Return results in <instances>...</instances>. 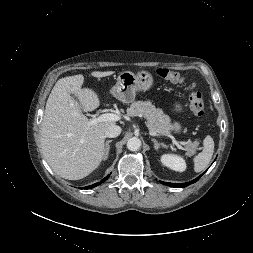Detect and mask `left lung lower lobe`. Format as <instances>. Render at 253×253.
<instances>
[{"instance_id": "obj_1", "label": "left lung lower lobe", "mask_w": 253, "mask_h": 253, "mask_svg": "<svg viewBox=\"0 0 253 253\" xmlns=\"http://www.w3.org/2000/svg\"><path fill=\"white\" fill-rule=\"evenodd\" d=\"M201 177V175L199 177H197L196 179H194L193 181L191 182H187V183H181V184H176V183H169V182H161L162 184H165L167 186H170V187H174V188H179V187H186L192 183H195L196 181L199 180V178Z\"/></svg>"}]
</instances>
